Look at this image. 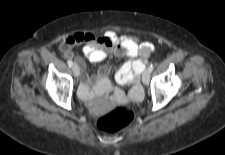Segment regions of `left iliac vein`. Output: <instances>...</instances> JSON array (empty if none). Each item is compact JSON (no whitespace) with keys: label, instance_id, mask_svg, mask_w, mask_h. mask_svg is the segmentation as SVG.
I'll use <instances>...</instances> for the list:
<instances>
[{"label":"left iliac vein","instance_id":"obj_1","mask_svg":"<svg viewBox=\"0 0 225 155\" xmlns=\"http://www.w3.org/2000/svg\"><path fill=\"white\" fill-rule=\"evenodd\" d=\"M150 73L149 70H146L143 75H142V82L145 85H148L149 81H150Z\"/></svg>","mask_w":225,"mask_h":155}]
</instances>
